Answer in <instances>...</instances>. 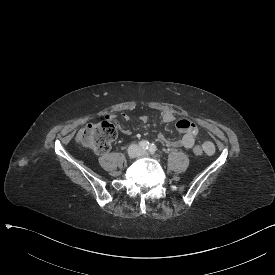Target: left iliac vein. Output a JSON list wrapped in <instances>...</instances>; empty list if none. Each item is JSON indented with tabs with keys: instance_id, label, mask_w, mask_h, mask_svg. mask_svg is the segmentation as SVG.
I'll return each mask as SVG.
<instances>
[{
	"instance_id": "4c4485c4",
	"label": "left iliac vein",
	"mask_w": 275,
	"mask_h": 275,
	"mask_svg": "<svg viewBox=\"0 0 275 275\" xmlns=\"http://www.w3.org/2000/svg\"><path fill=\"white\" fill-rule=\"evenodd\" d=\"M142 156H145V155H147L148 153L146 152V151H141V153H140Z\"/></svg>"
}]
</instances>
